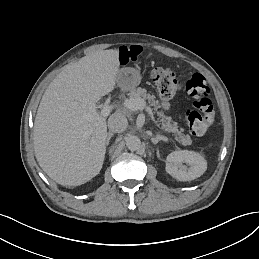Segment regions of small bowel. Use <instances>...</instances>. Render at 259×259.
Returning a JSON list of instances; mask_svg holds the SVG:
<instances>
[{"label": "small bowel", "instance_id": "obj_1", "mask_svg": "<svg viewBox=\"0 0 259 259\" xmlns=\"http://www.w3.org/2000/svg\"><path fill=\"white\" fill-rule=\"evenodd\" d=\"M141 53V48L139 46L133 45L129 47H121L119 49V61L121 63H128L129 61H134ZM163 109H168L169 104L167 102H162Z\"/></svg>", "mask_w": 259, "mask_h": 259}]
</instances>
